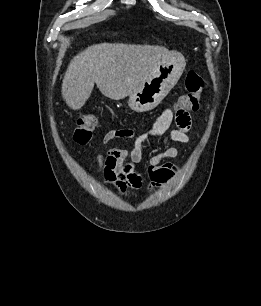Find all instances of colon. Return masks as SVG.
<instances>
[{"label":"colon","instance_id":"colon-1","mask_svg":"<svg viewBox=\"0 0 261 306\" xmlns=\"http://www.w3.org/2000/svg\"><path fill=\"white\" fill-rule=\"evenodd\" d=\"M187 92L181 95L176 104L177 112H187L189 110H197L202 92L205 88V82L202 76L190 71L185 80ZM97 126V118L92 113L82 114L76 124L73 132V139L79 145L88 144Z\"/></svg>","mask_w":261,"mask_h":306}]
</instances>
